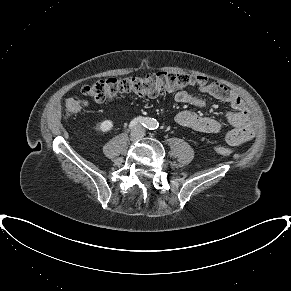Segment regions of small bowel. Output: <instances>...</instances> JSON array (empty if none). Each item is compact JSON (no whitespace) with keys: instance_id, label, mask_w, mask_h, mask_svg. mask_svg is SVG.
<instances>
[{"instance_id":"small-bowel-1","label":"small bowel","mask_w":291,"mask_h":291,"mask_svg":"<svg viewBox=\"0 0 291 291\" xmlns=\"http://www.w3.org/2000/svg\"><path fill=\"white\" fill-rule=\"evenodd\" d=\"M202 92L228 103L232 112L225 115L226 122L230 129L225 130V125L210 117L199 116L190 111H181L175 115V122L183 127L205 133H224L225 141L229 145H237L250 140L253 135L252 121L248 108L241 97L219 83L200 88ZM174 99L178 103L190 104L196 107H205L204 100L194 97L186 91H179Z\"/></svg>"}]
</instances>
